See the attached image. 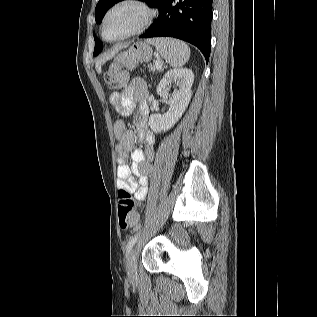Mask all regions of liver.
<instances>
[{"mask_svg": "<svg viewBox=\"0 0 317 317\" xmlns=\"http://www.w3.org/2000/svg\"><path fill=\"white\" fill-rule=\"evenodd\" d=\"M123 47H126V45H118V46H115L111 51H109L108 53L104 54L101 58H99L97 61H96V65H95V68H96V71L98 74L101 73V67L102 65L109 59H112L118 52L120 49H122Z\"/></svg>", "mask_w": 317, "mask_h": 317, "instance_id": "6515ba94", "label": "liver"}]
</instances>
